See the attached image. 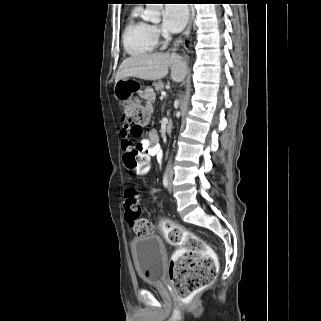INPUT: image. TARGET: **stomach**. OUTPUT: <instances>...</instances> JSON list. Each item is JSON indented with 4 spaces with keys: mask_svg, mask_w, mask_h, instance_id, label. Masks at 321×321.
<instances>
[{
    "mask_svg": "<svg viewBox=\"0 0 321 321\" xmlns=\"http://www.w3.org/2000/svg\"><path fill=\"white\" fill-rule=\"evenodd\" d=\"M114 92L119 100L126 101L134 92H140V84L128 78L120 79L115 82Z\"/></svg>",
    "mask_w": 321,
    "mask_h": 321,
    "instance_id": "obj_1",
    "label": "stomach"
}]
</instances>
